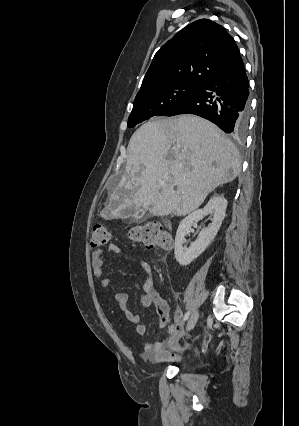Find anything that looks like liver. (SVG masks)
I'll return each mask as SVG.
<instances>
[{"instance_id": "obj_1", "label": "liver", "mask_w": 299, "mask_h": 426, "mask_svg": "<svg viewBox=\"0 0 299 426\" xmlns=\"http://www.w3.org/2000/svg\"><path fill=\"white\" fill-rule=\"evenodd\" d=\"M127 154L125 173L101 212L104 219L123 218L125 209L140 207L152 216H184L241 169L233 142L193 115L148 121L130 138Z\"/></svg>"}]
</instances>
